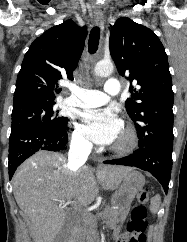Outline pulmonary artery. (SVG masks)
Listing matches in <instances>:
<instances>
[{"label":"pulmonary artery","mask_w":187,"mask_h":242,"mask_svg":"<svg viewBox=\"0 0 187 242\" xmlns=\"http://www.w3.org/2000/svg\"><path fill=\"white\" fill-rule=\"evenodd\" d=\"M71 96L67 99L68 104L77 107H96L105 104L110 96H115L120 91V82L115 78H109L104 84V91L89 90L79 86L69 87Z\"/></svg>","instance_id":"pulmonary-artery-1"}]
</instances>
